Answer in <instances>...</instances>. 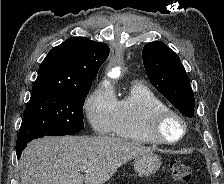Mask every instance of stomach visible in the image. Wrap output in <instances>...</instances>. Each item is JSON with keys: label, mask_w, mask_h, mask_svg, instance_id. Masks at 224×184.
<instances>
[{"label": "stomach", "mask_w": 224, "mask_h": 184, "mask_svg": "<svg viewBox=\"0 0 224 184\" xmlns=\"http://www.w3.org/2000/svg\"><path fill=\"white\" fill-rule=\"evenodd\" d=\"M161 166V158L154 153L138 157L134 161V170L140 177L154 174Z\"/></svg>", "instance_id": "stomach-1"}]
</instances>
